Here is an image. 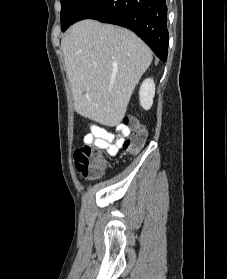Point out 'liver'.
<instances>
[{
	"instance_id": "obj_1",
	"label": "liver",
	"mask_w": 227,
	"mask_h": 279,
	"mask_svg": "<svg viewBox=\"0 0 227 279\" xmlns=\"http://www.w3.org/2000/svg\"><path fill=\"white\" fill-rule=\"evenodd\" d=\"M61 49L76 112L105 126L118 125L152 62L149 47L128 29L86 19L69 29Z\"/></svg>"
}]
</instances>
